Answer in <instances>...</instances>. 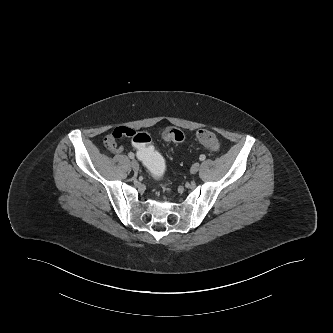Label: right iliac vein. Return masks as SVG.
Returning <instances> with one entry per match:
<instances>
[{"label":"right iliac vein","instance_id":"right-iliac-vein-1","mask_svg":"<svg viewBox=\"0 0 333 333\" xmlns=\"http://www.w3.org/2000/svg\"><path fill=\"white\" fill-rule=\"evenodd\" d=\"M131 167L134 171H138L139 170V164L136 160H132L131 161Z\"/></svg>","mask_w":333,"mask_h":333}]
</instances>
